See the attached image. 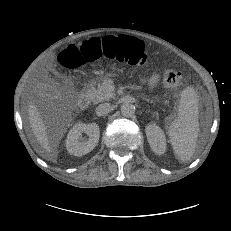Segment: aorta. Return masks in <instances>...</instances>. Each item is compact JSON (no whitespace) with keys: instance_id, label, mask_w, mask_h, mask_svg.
<instances>
[{"instance_id":"762f6f07","label":"aorta","mask_w":231,"mask_h":231,"mask_svg":"<svg viewBox=\"0 0 231 231\" xmlns=\"http://www.w3.org/2000/svg\"><path fill=\"white\" fill-rule=\"evenodd\" d=\"M121 113L125 117H130L134 114V106L132 104H123L121 106Z\"/></svg>"}]
</instances>
